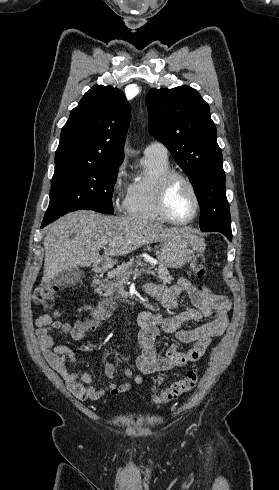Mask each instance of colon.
Instances as JSON below:
<instances>
[{"label": "colon", "mask_w": 279, "mask_h": 490, "mask_svg": "<svg viewBox=\"0 0 279 490\" xmlns=\"http://www.w3.org/2000/svg\"><path fill=\"white\" fill-rule=\"evenodd\" d=\"M191 271L198 278H204L207 275V258L202 253H197L191 259ZM59 292V284L47 283L37 293V301L45 308L50 309L53 304L57 293ZM58 315V312L54 313ZM199 372L196 366L190 368L185 376L175 380L170 386L164 390L156 393L153 396L155 404L162 405L170 403L184 394L190 392L198 383Z\"/></svg>", "instance_id": "colon-1"}]
</instances>
